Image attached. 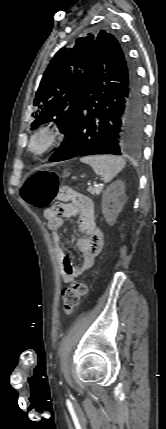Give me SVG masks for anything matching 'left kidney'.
<instances>
[{
	"instance_id": "obj_1",
	"label": "left kidney",
	"mask_w": 166,
	"mask_h": 429,
	"mask_svg": "<svg viewBox=\"0 0 166 429\" xmlns=\"http://www.w3.org/2000/svg\"><path fill=\"white\" fill-rule=\"evenodd\" d=\"M127 201L125 184L117 180L110 184L102 195V213L109 225H114L119 213Z\"/></svg>"
}]
</instances>
